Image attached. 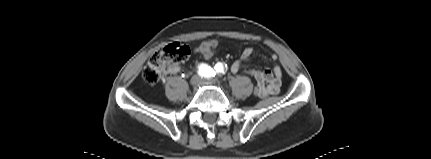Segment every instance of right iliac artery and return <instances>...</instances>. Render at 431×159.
Returning <instances> with one entry per match:
<instances>
[{
    "label": "right iliac artery",
    "mask_w": 431,
    "mask_h": 159,
    "mask_svg": "<svg viewBox=\"0 0 431 159\" xmlns=\"http://www.w3.org/2000/svg\"><path fill=\"white\" fill-rule=\"evenodd\" d=\"M198 74L201 77L209 78L213 74V69L207 64H200V66L198 67Z\"/></svg>",
    "instance_id": "obj_1"
}]
</instances>
